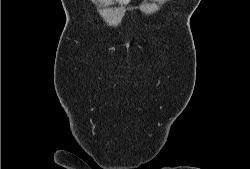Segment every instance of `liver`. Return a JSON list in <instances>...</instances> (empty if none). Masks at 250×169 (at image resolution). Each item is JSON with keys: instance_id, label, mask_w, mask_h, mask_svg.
<instances>
[{"instance_id": "obj_1", "label": "liver", "mask_w": 250, "mask_h": 169, "mask_svg": "<svg viewBox=\"0 0 250 169\" xmlns=\"http://www.w3.org/2000/svg\"><path fill=\"white\" fill-rule=\"evenodd\" d=\"M119 2H126V0H119Z\"/></svg>"}]
</instances>
